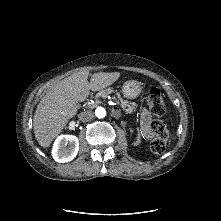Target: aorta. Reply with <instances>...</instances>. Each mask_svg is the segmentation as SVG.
Wrapping results in <instances>:
<instances>
[{"mask_svg": "<svg viewBox=\"0 0 221 221\" xmlns=\"http://www.w3.org/2000/svg\"><path fill=\"white\" fill-rule=\"evenodd\" d=\"M95 115L98 117V118H104L106 116V110L103 108V107H98L96 110H95Z\"/></svg>", "mask_w": 221, "mask_h": 221, "instance_id": "1", "label": "aorta"}]
</instances>
